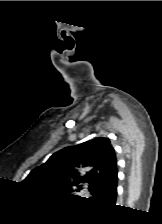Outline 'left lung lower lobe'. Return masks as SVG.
<instances>
[{
    "mask_svg": "<svg viewBox=\"0 0 162 224\" xmlns=\"http://www.w3.org/2000/svg\"><path fill=\"white\" fill-rule=\"evenodd\" d=\"M90 200L94 202L114 204L117 196V171L113 172L106 181L92 193Z\"/></svg>",
    "mask_w": 162,
    "mask_h": 224,
    "instance_id": "obj_1",
    "label": "left lung lower lobe"
}]
</instances>
